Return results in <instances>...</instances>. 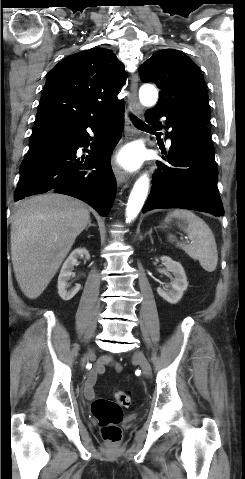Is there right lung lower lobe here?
<instances>
[{
	"label": "right lung lower lobe",
	"mask_w": 245,
	"mask_h": 479,
	"mask_svg": "<svg viewBox=\"0 0 245 479\" xmlns=\"http://www.w3.org/2000/svg\"><path fill=\"white\" fill-rule=\"evenodd\" d=\"M109 118L112 125L108 131L90 143L92 138L86 129L90 127L98 134L100 126ZM122 128L123 114L114 112L56 126L30 139L14 200L51 191L83 200L100 215L107 216L116 193L110 155L121 137ZM88 146L90 150L83 151L89 155L80 156L79 147Z\"/></svg>",
	"instance_id": "right-lung-lower-lobe-1"
}]
</instances>
